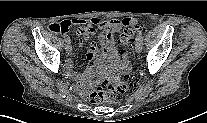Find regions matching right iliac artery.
<instances>
[{
	"instance_id": "right-iliac-artery-1",
	"label": "right iliac artery",
	"mask_w": 207,
	"mask_h": 123,
	"mask_svg": "<svg viewBox=\"0 0 207 123\" xmlns=\"http://www.w3.org/2000/svg\"><path fill=\"white\" fill-rule=\"evenodd\" d=\"M65 41H66V42H70L69 37H65Z\"/></svg>"
}]
</instances>
